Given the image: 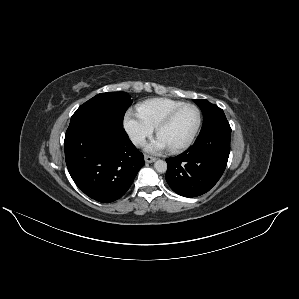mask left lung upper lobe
<instances>
[{
    "label": "left lung upper lobe",
    "instance_id": "1",
    "mask_svg": "<svg viewBox=\"0 0 299 299\" xmlns=\"http://www.w3.org/2000/svg\"><path fill=\"white\" fill-rule=\"evenodd\" d=\"M201 108L203 113V126L201 131L219 123H228L226 116L221 108L207 100H194Z\"/></svg>",
    "mask_w": 299,
    "mask_h": 299
}]
</instances>
